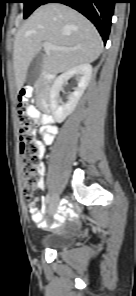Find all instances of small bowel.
<instances>
[{
    "label": "small bowel",
    "instance_id": "small-bowel-1",
    "mask_svg": "<svg viewBox=\"0 0 136 296\" xmlns=\"http://www.w3.org/2000/svg\"><path fill=\"white\" fill-rule=\"evenodd\" d=\"M27 90L29 88H26ZM31 115L37 119H39L42 122V126L39 129V134L41 136L40 140H37V145H38V157L42 158L45 154V146L48 144H51L54 140V136L57 133V128L48 121L47 116L43 115L42 113H40L39 111L33 109L31 112ZM38 169V173H39V180L37 182V187L38 189H43L45 186V181H44V173H45V166L44 164L41 162L38 164L37 166ZM42 213L45 212V207L43 206V208L41 209ZM42 213L40 212V210L38 208H34L33 209V216L35 217L33 219L34 224L37 227H43L45 225V221L43 219ZM75 215L72 211H66L63 213H58L55 216L56 222L53 226V228H55L59 233H63L65 232V230L61 227L62 224L64 223V221L66 219L72 220L74 219Z\"/></svg>",
    "mask_w": 136,
    "mask_h": 296
}]
</instances>
